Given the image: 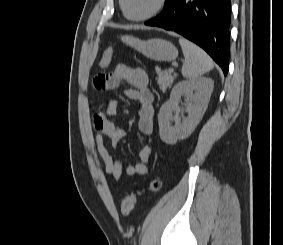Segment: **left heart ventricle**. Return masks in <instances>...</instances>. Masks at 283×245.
Segmentation results:
<instances>
[{"label":"left heart ventricle","mask_w":283,"mask_h":245,"mask_svg":"<svg viewBox=\"0 0 283 245\" xmlns=\"http://www.w3.org/2000/svg\"><path fill=\"white\" fill-rule=\"evenodd\" d=\"M158 0H125V8L130 16H143L152 11Z\"/></svg>","instance_id":"obj_1"}]
</instances>
